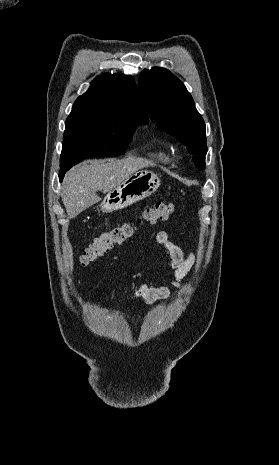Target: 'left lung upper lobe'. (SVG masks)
Masks as SVG:
<instances>
[{"instance_id": "5c2ea615", "label": "left lung upper lobe", "mask_w": 279, "mask_h": 465, "mask_svg": "<svg viewBox=\"0 0 279 465\" xmlns=\"http://www.w3.org/2000/svg\"><path fill=\"white\" fill-rule=\"evenodd\" d=\"M139 87L151 120L183 142L195 165L204 170L205 123L184 84L167 69L154 67L141 73Z\"/></svg>"}]
</instances>
